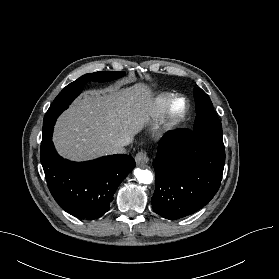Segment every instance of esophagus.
Returning <instances> with one entry per match:
<instances>
[{"instance_id":"obj_1","label":"esophagus","mask_w":279,"mask_h":279,"mask_svg":"<svg viewBox=\"0 0 279 279\" xmlns=\"http://www.w3.org/2000/svg\"><path fill=\"white\" fill-rule=\"evenodd\" d=\"M135 161L138 165L146 164L149 161V157L145 151H139L135 156Z\"/></svg>"}]
</instances>
